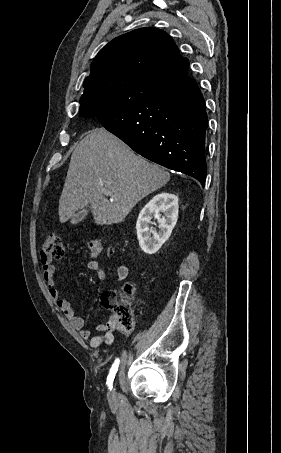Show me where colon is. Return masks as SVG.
<instances>
[{"instance_id":"1","label":"colon","mask_w":281,"mask_h":453,"mask_svg":"<svg viewBox=\"0 0 281 453\" xmlns=\"http://www.w3.org/2000/svg\"><path fill=\"white\" fill-rule=\"evenodd\" d=\"M91 251L89 253H79L76 255L78 260L96 261L102 252L113 253L114 249L111 246L104 245L99 241L91 242ZM66 255L63 243V237L60 233L51 232L44 240L40 260L44 263L52 261H60ZM124 291L127 294L134 293V287L130 283L124 284ZM117 319L119 329L129 331L133 327L132 310L129 307H121L117 309Z\"/></svg>"}]
</instances>
